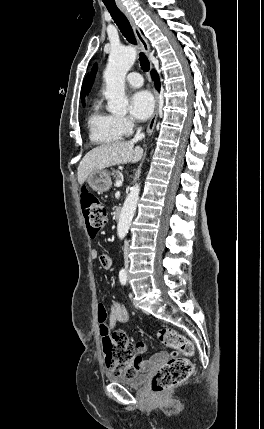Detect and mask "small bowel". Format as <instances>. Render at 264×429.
I'll use <instances>...</instances> for the list:
<instances>
[{"label":"small bowel","instance_id":"small-bowel-1","mask_svg":"<svg viewBox=\"0 0 264 429\" xmlns=\"http://www.w3.org/2000/svg\"><path fill=\"white\" fill-rule=\"evenodd\" d=\"M93 259L99 258L100 264L104 269H110L112 267V258L108 254H98V251L93 249L91 251ZM104 306L103 304H99ZM128 319V314L125 307L121 303H113L110 307L108 315V322H106V330H103L100 326V335L102 337V343L104 344L105 339L110 335V328L114 327L117 322H124ZM115 331L114 333H117ZM135 348L138 355L134 357L131 363V367L136 372H144L150 368L157 366L164 362L170 355L167 353H159L154 355L151 359L145 360L142 355L148 350V345L144 342H137Z\"/></svg>","mask_w":264,"mask_h":429}]
</instances>
